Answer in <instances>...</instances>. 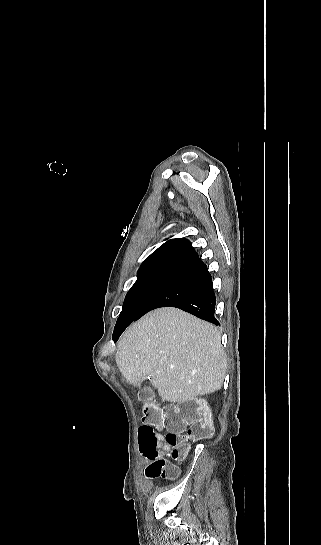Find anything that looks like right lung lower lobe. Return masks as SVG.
I'll use <instances>...</instances> for the list:
<instances>
[{"label": "right lung lower lobe", "mask_w": 321, "mask_h": 545, "mask_svg": "<svg viewBox=\"0 0 321 545\" xmlns=\"http://www.w3.org/2000/svg\"><path fill=\"white\" fill-rule=\"evenodd\" d=\"M212 286L207 266L197 256L173 271L135 317L121 323L117 322L113 340L116 341L133 321L159 307H177L218 325L214 317L216 299Z\"/></svg>", "instance_id": "obj_1"}]
</instances>
